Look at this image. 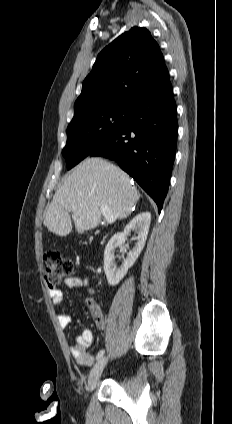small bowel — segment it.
Listing matches in <instances>:
<instances>
[{"label": "small bowel", "mask_w": 232, "mask_h": 424, "mask_svg": "<svg viewBox=\"0 0 232 424\" xmlns=\"http://www.w3.org/2000/svg\"><path fill=\"white\" fill-rule=\"evenodd\" d=\"M65 285L69 289L86 288L90 292H94L91 283L85 276H73L67 278L65 280ZM48 294L52 298L56 306H63V293L59 288H49ZM88 308L96 326L99 329H105L107 322L99 305L92 301H89ZM57 319L59 325L63 328L67 327L72 320L70 314L66 312L58 313ZM92 341L93 334L90 329H83L75 338L74 344L70 348V353L78 364L85 366L91 365L93 357L88 352V348L90 347Z\"/></svg>", "instance_id": "c3829d8e"}]
</instances>
